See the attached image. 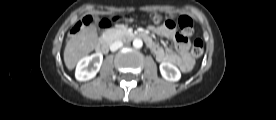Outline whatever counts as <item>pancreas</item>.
Instances as JSON below:
<instances>
[{"mask_svg":"<svg viewBox=\"0 0 276 120\" xmlns=\"http://www.w3.org/2000/svg\"><path fill=\"white\" fill-rule=\"evenodd\" d=\"M127 34V30L121 27H117L114 29H110L105 32V38L110 39L112 41L121 39Z\"/></svg>","mask_w":276,"mask_h":120,"instance_id":"cf45deb5","label":"pancreas"}]
</instances>
